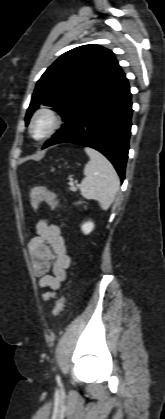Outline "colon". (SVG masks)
Instances as JSON below:
<instances>
[{
  "label": "colon",
  "instance_id": "obj_1",
  "mask_svg": "<svg viewBox=\"0 0 165 419\" xmlns=\"http://www.w3.org/2000/svg\"><path fill=\"white\" fill-rule=\"evenodd\" d=\"M46 203L48 204L52 209H58L59 205L56 200V197L52 191L45 187H35L32 189L30 193V204L33 209H38L40 204ZM65 299L63 296H60L53 308V314L55 316H58L64 308Z\"/></svg>",
  "mask_w": 165,
  "mask_h": 419
}]
</instances>
